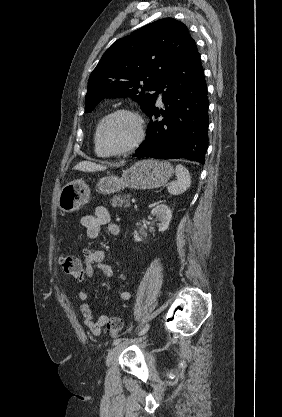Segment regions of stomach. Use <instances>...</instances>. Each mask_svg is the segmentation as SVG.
Returning <instances> with one entry per match:
<instances>
[{
	"label": "stomach",
	"instance_id": "obj_1",
	"mask_svg": "<svg viewBox=\"0 0 282 417\" xmlns=\"http://www.w3.org/2000/svg\"><path fill=\"white\" fill-rule=\"evenodd\" d=\"M173 170L172 164L167 160H138L130 168L123 170L122 176H103L97 182L98 192L109 194L125 186L130 188H159L166 184ZM88 184L77 178L63 186L58 196V206L65 213L79 211L83 204L89 200Z\"/></svg>",
	"mask_w": 282,
	"mask_h": 417
}]
</instances>
